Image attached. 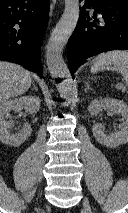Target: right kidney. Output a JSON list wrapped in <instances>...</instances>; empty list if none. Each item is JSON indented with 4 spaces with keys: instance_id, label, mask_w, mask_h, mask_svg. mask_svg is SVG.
I'll use <instances>...</instances> for the list:
<instances>
[{
    "instance_id": "ca27d5eb",
    "label": "right kidney",
    "mask_w": 128,
    "mask_h": 213,
    "mask_svg": "<svg viewBox=\"0 0 128 213\" xmlns=\"http://www.w3.org/2000/svg\"><path fill=\"white\" fill-rule=\"evenodd\" d=\"M40 108V100L36 96L26 95L15 99L4 101L0 104V140L9 146L18 147L23 144L32 133L31 126L26 123L17 133L10 132L14 126L11 119H5V116L11 111L20 112L25 109L29 113H37Z\"/></svg>"
}]
</instances>
